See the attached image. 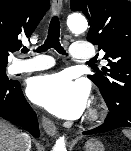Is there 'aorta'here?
I'll use <instances>...</instances> for the list:
<instances>
[{
	"mask_svg": "<svg viewBox=\"0 0 131 151\" xmlns=\"http://www.w3.org/2000/svg\"><path fill=\"white\" fill-rule=\"evenodd\" d=\"M67 26L71 32L79 34L87 29L88 24L84 16L74 13L68 17ZM53 151H66L64 136L59 137V139L56 141Z\"/></svg>",
	"mask_w": 131,
	"mask_h": 151,
	"instance_id": "1",
	"label": "aorta"
}]
</instances>
